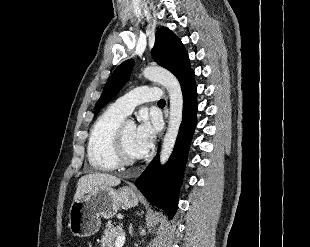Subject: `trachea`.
<instances>
[{"label":"trachea","mask_w":310,"mask_h":247,"mask_svg":"<svg viewBox=\"0 0 310 247\" xmlns=\"http://www.w3.org/2000/svg\"><path fill=\"white\" fill-rule=\"evenodd\" d=\"M158 104H159V105H165V100H164V99L159 100V101H158Z\"/></svg>","instance_id":"trachea-1"}]
</instances>
